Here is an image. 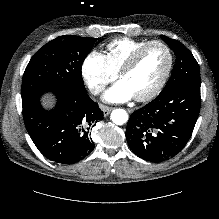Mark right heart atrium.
<instances>
[{"mask_svg":"<svg viewBox=\"0 0 219 219\" xmlns=\"http://www.w3.org/2000/svg\"><path fill=\"white\" fill-rule=\"evenodd\" d=\"M81 72L84 82L94 94L101 93L116 78V72L109 65L105 54L98 50H92L86 55Z\"/></svg>","mask_w":219,"mask_h":219,"instance_id":"right-heart-atrium-1","label":"right heart atrium"}]
</instances>
